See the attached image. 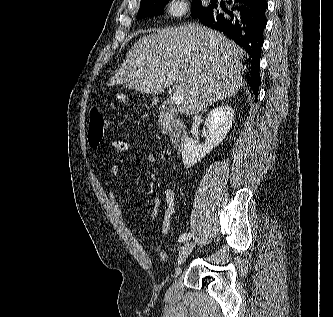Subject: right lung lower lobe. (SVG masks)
I'll return each mask as SVG.
<instances>
[{"mask_svg":"<svg viewBox=\"0 0 333 317\" xmlns=\"http://www.w3.org/2000/svg\"><path fill=\"white\" fill-rule=\"evenodd\" d=\"M228 3L232 8L221 9L211 4L201 11L197 18L204 25L227 35L249 53L250 69L245 75V80L257 99L260 85V54L264 42L263 31L267 24L265 12L268 5L266 0H230ZM222 10L225 14L221 13Z\"/></svg>","mask_w":333,"mask_h":317,"instance_id":"obj_1","label":"right lung lower lobe"}]
</instances>
